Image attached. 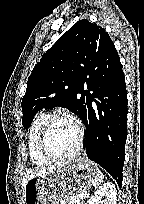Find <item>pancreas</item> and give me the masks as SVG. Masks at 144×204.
Returning a JSON list of instances; mask_svg holds the SVG:
<instances>
[{"mask_svg": "<svg viewBox=\"0 0 144 204\" xmlns=\"http://www.w3.org/2000/svg\"><path fill=\"white\" fill-rule=\"evenodd\" d=\"M77 199H79V196L71 197L68 199L66 204H77Z\"/></svg>", "mask_w": 144, "mask_h": 204, "instance_id": "cf45deb5", "label": "pancreas"}]
</instances>
